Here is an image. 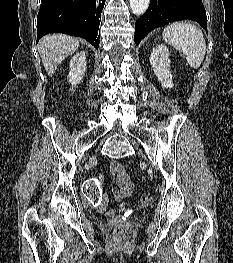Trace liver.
I'll return each mask as SVG.
<instances>
[{
    "label": "liver",
    "instance_id": "obj_1",
    "mask_svg": "<svg viewBox=\"0 0 233 263\" xmlns=\"http://www.w3.org/2000/svg\"><path fill=\"white\" fill-rule=\"evenodd\" d=\"M78 47L79 41L69 35L51 34L42 37L38 43V51L48 75L52 76L58 65Z\"/></svg>",
    "mask_w": 233,
    "mask_h": 263
}]
</instances>
